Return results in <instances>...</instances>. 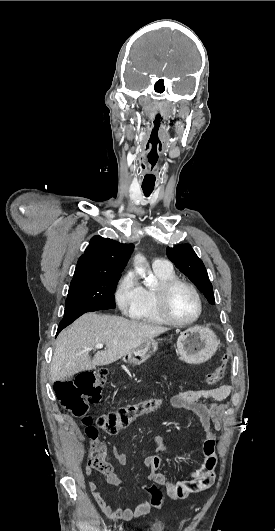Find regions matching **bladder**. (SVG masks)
Masks as SVG:
<instances>
[{
  "label": "bladder",
  "mask_w": 275,
  "mask_h": 531,
  "mask_svg": "<svg viewBox=\"0 0 275 531\" xmlns=\"http://www.w3.org/2000/svg\"><path fill=\"white\" fill-rule=\"evenodd\" d=\"M167 528V522L162 519H153L146 524L147 531H163Z\"/></svg>",
  "instance_id": "bladder-1"
}]
</instances>
